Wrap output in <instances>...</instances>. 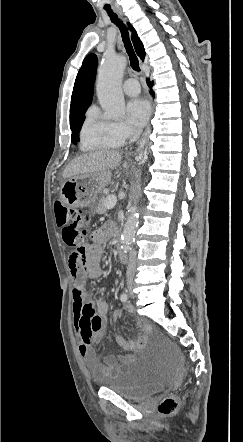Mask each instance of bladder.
Listing matches in <instances>:
<instances>
[{
  "label": "bladder",
  "instance_id": "obj_1",
  "mask_svg": "<svg viewBox=\"0 0 243 442\" xmlns=\"http://www.w3.org/2000/svg\"><path fill=\"white\" fill-rule=\"evenodd\" d=\"M99 385L125 399L143 400L162 389L163 379L153 367L152 360L128 356Z\"/></svg>",
  "mask_w": 243,
  "mask_h": 442
}]
</instances>
